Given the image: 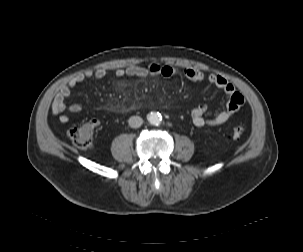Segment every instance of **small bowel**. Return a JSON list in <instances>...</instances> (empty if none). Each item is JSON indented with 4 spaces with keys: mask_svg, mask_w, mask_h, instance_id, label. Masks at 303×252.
<instances>
[{
    "mask_svg": "<svg viewBox=\"0 0 303 252\" xmlns=\"http://www.w3.org/2000/svg\"><path fill=\"white\" fill-rule=\"evenodd\" d=\"M109 72V70L104 68L87 70L72 78L67 84L63 85L59 89L52 101L51 112L58 116L60 123L66 124L69 122L70 117L67 111L81 112L84 109L81 104H72L70 106L65 104V100L71 95L72 88L82 83L87 78L103 79L109 74ZM179 73V68L174 65H161L157 63L149 66L132 65L114 71V74L118 77L130 76L139 78H145L147 76L171 77ZM182 73L184 76L195 81L203 80L205 78L204 74L198 70L186 69ZM207 80L227 95L228 102L222 111L217 112L212 117H206V107L204 105L195 107L191 111L190 117L192 123L197 127H214L224 124L244 104V96L224 77L218 74H209Z\"/></svg>",
    "mask_w": 303,
    "mask_h": 252,
    "instance_id": "c3829d8e",
    "label": "small bowel"
}]
</instances>
